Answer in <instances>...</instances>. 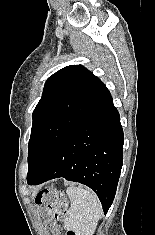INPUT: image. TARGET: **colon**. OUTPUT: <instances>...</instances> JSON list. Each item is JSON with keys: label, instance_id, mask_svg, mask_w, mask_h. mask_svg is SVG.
Segmentation results:
<instances>
[{"label": "colon", "instance_id": "1", "mask_svg": "<svg viewBox=\"0 0 155 235\" xmlns=\"http://www.w3.org/2000/svg\"><path fill=\"white\" fill-rule=\"evenodd\" d=\"M39 215L45 219H60L66 214L65 199L52 191L42 190L36 196ZM67 235H76L74 232H68Z\"/></svg>", "mask_w": 155, "mask_h": 235}]
</instances>
